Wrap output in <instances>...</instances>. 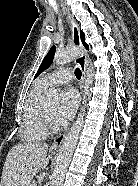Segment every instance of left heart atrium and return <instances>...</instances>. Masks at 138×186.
Returning a JSON list of instances; mask_svg holds the SVG:
<instances>
[{"label": "left heart atrium", "mask_w": 138, "mask_h": 186, "mask_svg": "<svg viewBox=\"0 0 138 186\" xmlns=\"http://www.w3.org/2000/svg\"><path fill=\"white\" fill-rule=\"evenodd\" d=\"M78 106V94L73 88L63 91L61 104L55 113V123L65 126L74 116Z\"/></svg>", "instance_id": "1"}]
</instances>
